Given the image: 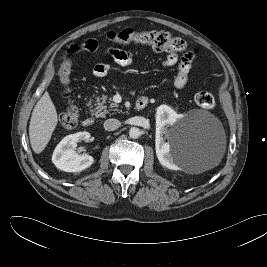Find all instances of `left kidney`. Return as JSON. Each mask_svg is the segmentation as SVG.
I'll return each instance as SVG.
<instances>
[{"instance_id":"5707ae66","label":"left kidney","mask_w":267,"mask_h":267,"mask_svg":"<svg viewBox=\"0 0 267 267\" xmlns=\"http://www.w3.org/2000/svg\"><path fill=\"white\" fill-rule=\"evenodd\" d=\"M180 118L181 114H177L172 108L167 105H160L156 111V140L155 149L156 156L160 164L170 170H180V167L175 162L173 154L171 153V146L165 142L163 135L166 133V127L173 125Z\"/></svg>"}]
</instances>
